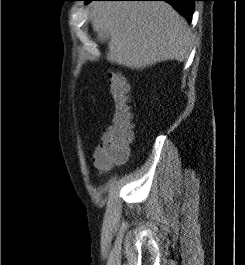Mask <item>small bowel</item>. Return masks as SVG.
Wrapping results in <instances>:
<instances>
[{
	"label": "small bowel",
	"mask_w": 245,
	"mask_h": 265,
	"mask_svg": "<svg viewBox=\"0 0 245 265\" xmlns=\"http://www.w3.org/2000/svg\"><path fill=\"white\" fill-rule=\"evenodd\" d=\"M93 161H94V165L99 169V170H106L105 168H102L100 167L97 162H96V159H95V154H94V157H93Z\"/></svg>",
	"instance_id": "small-bowel-1"
}]
</instances>
